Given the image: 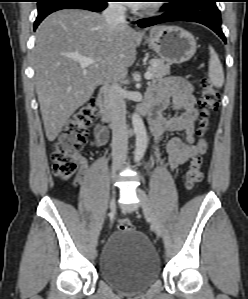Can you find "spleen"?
Returning <instances> with one entry per match:
<instances>
[{"label":"spleen","mask_w":248,"mask_h":299,"mask_svg":"<svg viewBox=\"0 0 248 299\" xmlns=\"http://www.w3.org/2000/svg\"><path fill=\"white\" fill-rule=\"evenodd\" d=\"M210 59H209V78L211 83L215 87H222L224 83V73L222 64L219 60L218 55L214 51V49L210 46Z\"/></svg>","instance_id":"3e777b00"}]
</instances>
